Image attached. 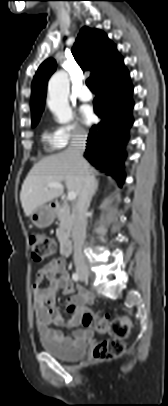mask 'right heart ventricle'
<instances>
[{"mask_svg":"<svg viewBox=\"0 0 168 406\" xmlns=\"http://www.w3.org/2000/svg\"><path fill=\"white\" fill-rule=\"evenodd\" d=\"M42 140L44 144L51 150H56L62 148L60 143L58 142L55 133L51 132L50 130L46 129L42 134Z\"/></svg>","mask_w":168,"mask_h":406,"instance_id":"right-heart-ventricle-1","label":"right heart ventricle"}]
</instances>
